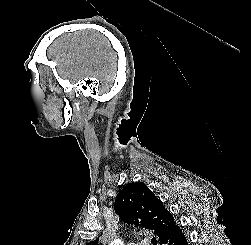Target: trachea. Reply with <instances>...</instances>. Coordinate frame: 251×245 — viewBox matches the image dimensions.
<instances>
[{
  "label": "trachea",
  "mask_w": 251,
  "mask_h": 245,
  "mask_svg": "<svg viewBox=\"0 0 251 245\" xmlns=\"http://www.w3.org/2000/svg\"><path fill=\"white\" fill-rule=\"evenodd\" d=\"M151 242H152V244H153V245H156V244H157V240H156V238H155V237H153V238L151 239Z\"/></svg>",
  "instance_id": "obj_1"
}]
</instances>
